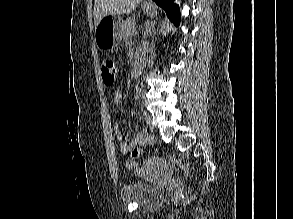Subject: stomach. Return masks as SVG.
<instances>
[{"instance_id": "stomach-1", "label": "stomach", "mask_w": 293, "mask_h": 219, "mask_svg": "<svg viewBox=\"0 0 293 219\" xmlns=\"http://www.w3.org/2000/svg\"><path fill=\"white\" fill-rule=\"evenodd\" d=\"M142 9L149 16H155L157 13L151 3H144ZM122 25L120 17L115 14L103 17L95 27L94 40L97 47L102 50H112L117 47L123 37Z\"/></svg>"}]
</instances>
